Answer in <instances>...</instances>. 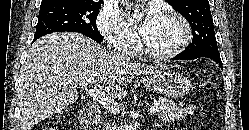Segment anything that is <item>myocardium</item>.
I'll return each mask as SVG.
<instances>
[{
    "instance_id": "myocardium-1",
    "label": "myocardium",
    "mask_w": 249,
    "mask_h": 130,
    "mask_svg": "<svg viewBox=\"0 0 249 130\" xmlns=\"http://www.w3.org/2000/svg\"><path fill=\"white\" fill-rule=\"evenodd\" d=\"M161 15L176 19L182 26L183 34L180 41L173 48L163 52H155L150 50L142 40L140 45L142 53L154 60H166L179 55L192 40V28L188 20L183 15L174 10H165L161 13Z\"/></svg>"
}]
</instances>
